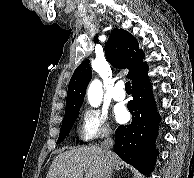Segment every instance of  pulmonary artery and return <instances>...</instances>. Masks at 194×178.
Masks as SVG:
<instances>
[{"mask_svg":"<svg viewBox=\"0 0 194 178\" xmlns=\"http://www.w3.org/2000/svg\"><path fill=\"white\" fill-rule=\"evenodd\" d=\"M124 85L122 82H118L111 93L112 98L117 101V102H121L125 99V91H124Z\"/></svg>","mask_w":194,"mask_h":178,"instance_id":"1","label":"pulmonary artery"}]
</instances>
